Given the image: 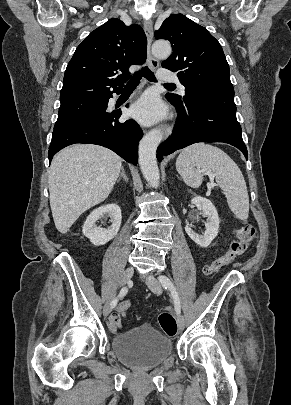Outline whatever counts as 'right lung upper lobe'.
<instances>
[{
	"mask_svg": "<svg viewBox=\"0 0 291 405\" xmlns=\"http://www.w3.org/2000/svg\"><path fill=\"white\" fill-rule=\"evenodd\" d=\"M146 47L139 25L108 20L77 47L64 74L60 101L106 99L120 93L130 76L128 68L145 62Z\"/></svg>",
	"mask_w": 291,
	"mask_h": 405,
	"instance_id": "obj_1",
	"label": "right lung upper lobe"
}]
</instances>
